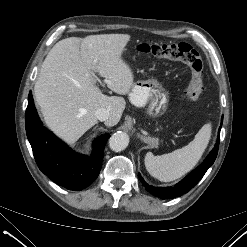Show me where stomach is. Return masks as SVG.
Returning a JSON list of instances; mask_svg holds the SVG:
<instances>
[{
    "mask_svg": "<svg viewBox=\"0 0 247 247\" xmlns=\"http://www.w3.org/2000/svg\"><path fill=\"white\" fill-rule=\"evenodd\" d=\"M130 102L137 107H147V114L159 117L168 109L169 93L157 79L139 80L129 92Z\"/></svg>",
    "mask_w": 247,
    "mask_h": 247,
    "instance_id": "0dacf381",
    "label": "stomach"
}]
</instances>
